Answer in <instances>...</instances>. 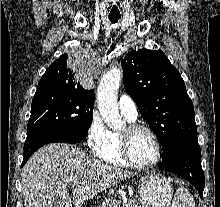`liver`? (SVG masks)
<instances>
[{
    "label": "liver",
    "mask_w": 220,
    "mask_h": 207,
    "mask_svg": "<svg viewBox=\"0 0 220 207\" xmlns=\"http://www.w3.org/2000/svg\"><path fill=\"white\" fill-rule=\"evenodd\" d=\"M136 173L110 166L70 144H49L35 152L23 168L24 207H82L106 188ZM79 183L69 196L67 186Z\"/></svg>",
    "instance_id": "6515ba94"
}]
</instances>
